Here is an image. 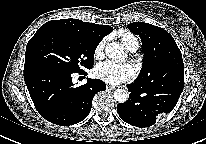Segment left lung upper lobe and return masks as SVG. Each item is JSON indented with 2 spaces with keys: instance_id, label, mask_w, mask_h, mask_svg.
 Segmentation results:
<instances>
[{
  "instance_id": "left-lung-upper-lobe-1",
  "label": "left lung upper lobe",
  "mask_w": 206,
  "mask_h": 144,
  "mask_svg": "<svg viewBox=\"0 0 206 144\" xmlns=\"http://www.w3.org/2000/svg\"><path fill=\"white\" fill-rule=\"evenodd\" d=\"M142 41V69L134 81L142 86L170 82L184 76L182 54L173 37L164 29L144 22L128 24Z\"/></svg>"
}]
</instances>
